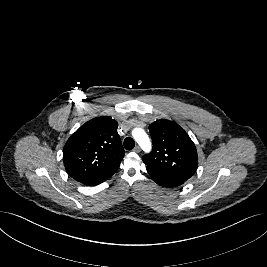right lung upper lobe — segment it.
<instances>
[{
    "label": "right lung upper lobe",
    "instance_id": "right-lung-upper-lobe-1",
    "mask_svg": "<svg viewBox=\"0 0 267 267\" xmlns=\"http://www.w3.org/2000/svg\"><path fill=\"white\" fill-rule=\"evenodd\" d=\"M118 123L109 116L91 119L67 140L63 162L76 181L118 169L125 151L117 133Z\"/></svg>",
    "mask_w": 267,
    "mask_h": 267
}]
</instances>
